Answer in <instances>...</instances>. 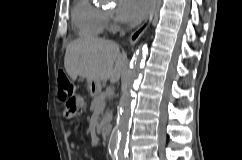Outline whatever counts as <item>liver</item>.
I'll return each instance as SVG.
<instances>
[{
	"label": "liver",
	"mask_w": 242,
	"mask_h": 160,
	"mask_svg": "<svg viewBox=\"0 0 242 160\" xmlns=\"http://www.w3.org/2000/svg\"><path fill=\"white\" fill-rule=\"evenodd\" d=\"M126 56L119 46L104 39L79 38L71 42L64 57V67L72 80L78 76L87 81L117 83L124 72Z\"/></svg>",
	"instance_id": "obj_1"
}]
</instances>
